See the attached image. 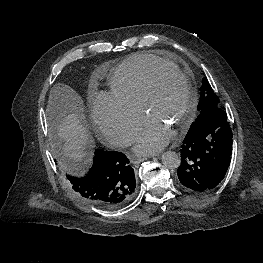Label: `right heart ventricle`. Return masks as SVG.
<instances>
[{"label": "right heart ventricle", "mask_w": 263, "mask_h": 263, "mask_svg": "<svg viewBox=\"0 0 263 263\" xmlns=\"http://www.w3.org/2000/svg\"><path fill=\"white\" fill-rule=\"evenodd\" d=\"M162 66L177 68L172 62L153 55L130 56L111 72L109 76L111 94L128 105L140 108L152 73Z\"/></svg>", "instance_id": "obj_1"}]
</instances>
